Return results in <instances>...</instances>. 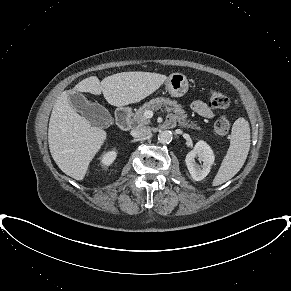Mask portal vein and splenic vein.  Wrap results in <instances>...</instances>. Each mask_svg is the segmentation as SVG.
<instances>
[{
  "instance_id": "1",
  "label": "portal vein and splenic vein",
  "mask_w": 291,
  "mask_h": 291,
  "mask_svg": "<svg viewBox=\"0 0 291 291\" xmlns=\"http://www.w3.org/2000/svg\"><path fill=\"white\" fill-rule=\"evenodd\" d=\"M152 116H153V112L151 110H147L144 112L145 118L150 119V118H152Z\"/></svg>"
}]
</instances>
